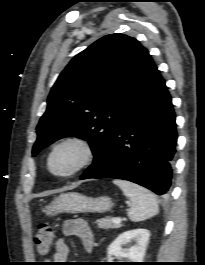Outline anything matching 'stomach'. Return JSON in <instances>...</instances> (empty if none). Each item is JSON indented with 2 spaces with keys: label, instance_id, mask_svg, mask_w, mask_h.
<instances>
[{
  "label": "stomach",
  "instance_id": "0dacf381",
  "mask_svg": "<svg viewBox=\"0 0 205 265\" xmlns=\"http://www.w3.org/2000/svg\"><path fill=\"white\" fill-rule=\"evenodd\" d=\"M112 207L111 198L107 196L89 197L78 192H68L55 198L44 212L47 216H55L60 213H102Z\"/></svg>",
  "mask_w": 205,
  "mask_h": 265
}]
</instances>
